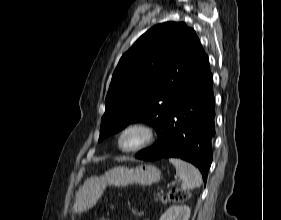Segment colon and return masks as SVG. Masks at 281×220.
I'll return each mask as SVG.
<instances>
[{
  "instance_id": "obj_1",
  "label": "colon",
  "mask_w": 281,
  "mask_h": 220,
  "mask_svg": "<svg viewBox=\"0 0 281 220\" xmlns=\"http://www.w3.org/2000/svg\"><path fill=\"white\" fill-rule=\"evenodd\" d=\"M189 198V193L183 190H173L172 192H170L167 196H166V200H172V201H177V202H181V201H185ZM101 220V219H100Z\"/></svg>"
}]
</instances>
